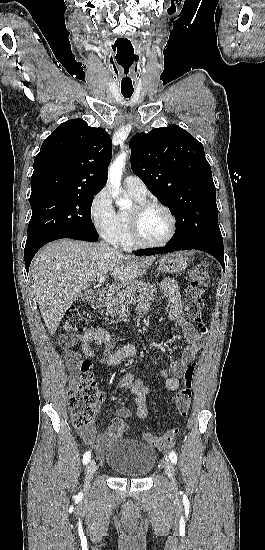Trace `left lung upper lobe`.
Instances as JSON below:
<instances>
[{"label": "left lung upper lobe", "instance_id": "obj_1", "mask_svg": "<svg viewBox=\"0 0 265 550\" xmlns=\"http://www.w3.org/2000/svg\"><path fill=\"white\" fill-rule=\"evenodd\" d=\"M132 171L176 218L169 243L224 252L216 189L203 145L177 125L136 134Z\"/></svg>", "mask_w": 265, "mask_h": 550}]
</instances>
